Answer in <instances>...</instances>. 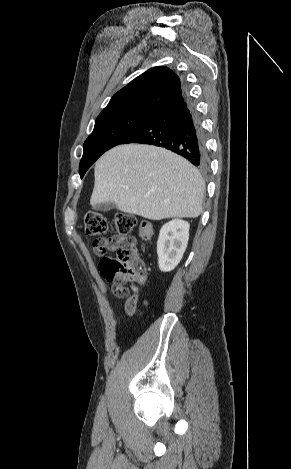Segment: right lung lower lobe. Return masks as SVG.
Returning <instances> with one entry per match:
<instances>
[{
  "mask_svg": "<svg viewBox=\"0 0 291 469\" xmlns=\"http://www.w3.org/2000/svg\"><path fill=\"white\" fill-rule=\"evenodd\" d=\"M184 92L170 100L119 144H152L169 149L205 169L208 156L205 136L195 105L182 82Z\"/></svg>",
  "mask_w": 291,
  "mask_h": 469,
  "instance_id": "1",
  "label": "right lung lower lobe"
}]
</instances>
